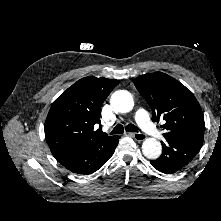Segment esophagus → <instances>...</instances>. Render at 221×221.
I'll list each match as a JSON object with an SVG mask.
<instances>
[{"mask_svg": "<svg viewBox=\"0 0 221 221\" xmlns=\"http://www.w3.org/2000/svg\"><path fill=\"white\" fill-rule=\"evenodd\" d=\"M136 141L142 142L146 139V135L143 133H129Z\"/></svg>", "mask_w": 221, "mask_h": 221, "instance_id": "esophagus-1", "label": "esophagus"}]
</instances>
